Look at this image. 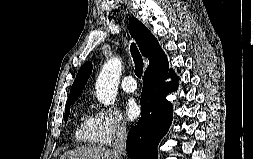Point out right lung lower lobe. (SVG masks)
<instances>
[{"mask_svg": "<svg viewBox=\"0 0 253 159\" xmlns=\"http://www.w3.org/2000/svg\"><path fill=\"white\" fill-rule=\"evenodd\" d=\"M172 77L174 80L165 82ZM141 93V118L130 131L126 150L130 159H157V146L172 121V104L167 94L177 88L173 70L145 72Z\"/></svg>", "mask_w": 253, "mask_h": 159, "instance_id": "1", "label": "right lung lower lobe"}]
</instances>
